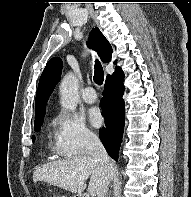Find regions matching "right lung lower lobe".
<instances>
[{
    "label": "right lung lower lobe",
    "instance_id": "obj_1",
    "mask_svg": "<svg viewBox=\"0 0 191 197\" xmlns=\"http://www.w3.org/2000/svg\"><path fill=\"white\" fill-rule=\"evenodd\" d=\"M123 72L106 78L101 99L105 127L100 131V139L107 153L115 160L118 159L120 143L124 131L125 105L122 99L124 86Z\"/></svg>",
    "mask_w": 191,
    "mask_h": 197
}]
</instances>
